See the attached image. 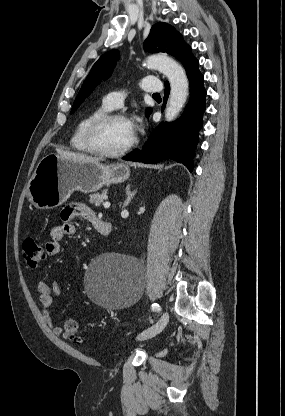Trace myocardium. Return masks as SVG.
Segmentation results:
<instances>
[{"label": "myocardium", "mask_w": 285, "mask_h": 416, "mask_svg": "<svg viewBox=\"0 0 285 416\" xmlns=\"http://www.w3.org/2000/svg\"><path fill=\"white\" fill-rule=\"evenodd\" d=\"M113 120L127 121V118L122 113L107 111L95 117L88 124L86 131H85V141L87 143V146L93 153L97 155H101V156H106V157H120L126 154L132 148L134 144L133 137L131 138V140L128 142V144L125 147L119 150L106 149L98 142V139H97L98 131L101 129L103 125Z\"/></svg>", "instance_id": "1"}]
</instances>
